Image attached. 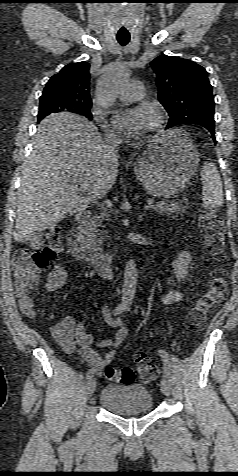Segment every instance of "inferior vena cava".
Returning a JSON list of instances; mask_svg holds the SVG:
<instances>
[{
    "mask_svg": "<svg viewBox=\"0 0 238 476\" xmlns=\"http://www.w3.org/2000/svg\"><path fill=\"white\" fill-rule=\"evenodd\" d=\"M104 142L107 149V155L109 157L117 158V152L121 144V138L115 133L107 132Z\"/></svg>",
    "mask_w": 238,
    "mask_h": 476,
    "instance_id": "obj_1",
    "label": "inferior vena cava"
}]
</instances>
